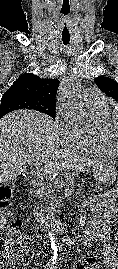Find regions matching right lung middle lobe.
<instances>
[{
  "mask_svg": "<svg viewBox=\"0 0 118 269\" xmlns=\"http://www.w3.org/2000/svg\"><path fill=\"white\" fill-rule=\"evenodd\" d=\"M24 108L45 113L55 119V105H43L20 94L3 95L0 105V118L9 112Z\"/></svg>",
  "mask_w": 118,
  "mask_h": 269,
  "instance_id": "obj_1",
  "label": "right lung middle lobe"
}]
</instances>
